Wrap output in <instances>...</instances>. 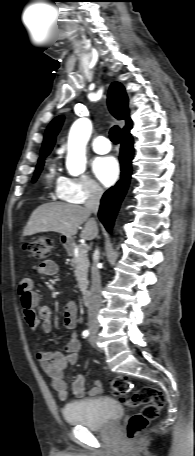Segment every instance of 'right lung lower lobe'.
I'll return each mask as SVG.
<instances>
[{
  "label": "right lung lower lobe",
  "mask_w": 195,
  "mask_h": 456,
  "mask_svg": "<svg viewBox=\"0 0 195 456\" xmlns=\"http://www.w3.org/2000/svg\"><path fill=\"white\" fill-rule=\"evenodd\" d=\"M132 158L133 139L130 132H128L123 134L121 142V151L119 156L121 164V180L105 192L102 197L98 213L99 219L108 232H111L112 230L115 216L129 186Z\"/></svg>",
  "instance_id": "obj_1"
}]
</instances>
